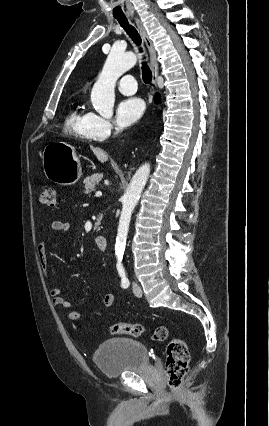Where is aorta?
<instances>
[{"mask_svg":"<svg viewBox=\"0 0 269 426\" xmlns=\"http://www.w3.org/2000/svg\"><path fill=\"white\" fill-rule=\"evenodd\" d=\"M137 62L133 52H121L113 49L101 74L91 91L94 109L104 118H111L115 102V84L117 79ZM150 174V164L145 163L135 172L122 197V211L116 236L115 255L118 263L122 261L132 212L140 198Z\"/></svg>","mask_w":269,"mask_h":426,"instance_id":"obj_1","label":"aorta"}]
</instances>
